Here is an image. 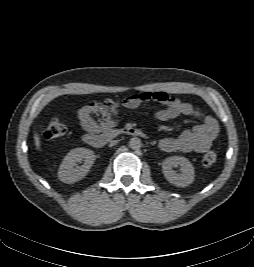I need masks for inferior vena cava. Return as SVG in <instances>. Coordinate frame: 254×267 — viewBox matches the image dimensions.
I'll use <instances>...</instances> for the list:
<instances>
[{"label": "inferior vena cava", "instance_id": "602c4592", "mask_svg": "<svg viewBox=\"0 0 254 267\" xmlns=\"http://www.w3.org/2000/svg\"><path fill=\"white\" fill-rule=\"evenodd\" d=\"M117 142H118L117 140L111 141L110 144H109V146L112 147V146L116 145Z\"/></svg>", "mask_w": 254, "mask_h": 267}]
</instances>
